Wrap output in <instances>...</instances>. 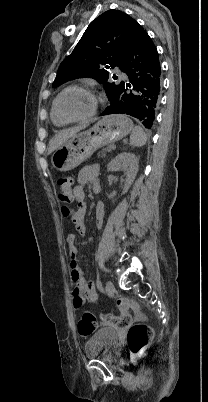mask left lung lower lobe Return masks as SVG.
<instances>
[{
  "instance_id": "obj_1",
  "label": "left lung lower lobe",
  "mask_w": 208,
  "mask_h": 402,
  "mask_svg": "<svg viewBox=\"0 0 208 402\" xmlns=\"http://www.w3.org/2000/svg\"><path fill=\"white\" fill-rule=\"evenodd\" d=\"M121 71L129 80L117 86L102 115L127 114L150 129L160 98L161 66L153 41L136 21L122 55Z\"/></svg>"
}]
</instances>
